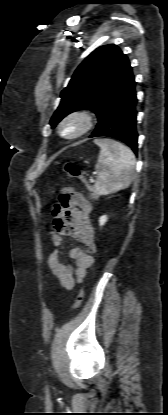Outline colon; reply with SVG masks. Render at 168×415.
<instances>
[{"instance_id":"1","label":"colon","mask_w":168,"mask_h":415,"mask_svg":"<svg viewBox=\"0 0 168 415\" xmlns=\"http://www.w3.org/2000/svg\"><path fill=\"white\" fill-rule=\"evenodd\" d=\"M64 170L69 177L78 178L81 180L82 188L87 189L89 198H91L94 201L98 199L99 197L98 189L95 188L94 184L92 183L89 177H84V174L80 166L77 163L67 162L64 166ZM54 227H55V224H54ZM83 298H84V292L81 289L75 298V301L73 303V309H76L81 305Z\"/></svg>"}]
</instances>
